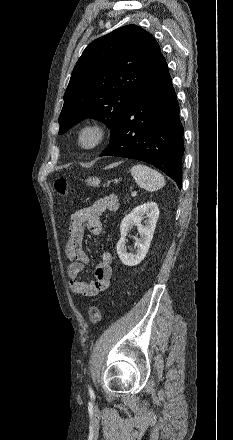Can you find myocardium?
Segmentation results:
<instances>
[{"label": "myocardium", "instance_id": "myocardium-1", "mask_svg": "<svg viewBox=\"0 0 233 440\" xmlns=\"http://www.w3.org/2000/svg\"><path fill=\"white\" fill-rule=\"evenodd\" d=\"M90 134L92 140L85 142L84 137ZM108 137L107 127L96 121H91L81 125L76 132V145L82 150H95L101 147Z\"/></svg>", "mask_w": 233, "mask_h": 440}]
</instances>
